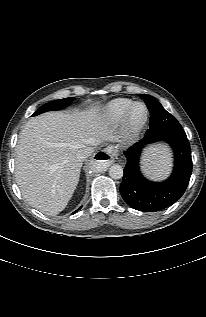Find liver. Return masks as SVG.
<instances>
[{
	"instance_id": "1",
	"label": "liver",
	"mask_w": 206,
	"mask_h": 317,
	"mask_svg": "<svg viewBox=\"0 0 206 317\" xmlns=\"http://www.w3.org/2000/svg\"><path fill=\"white\" fill-rule=\"evenodd\" d=\"M115 140L99 105L83 112H47L31 118L16 146L15 177L23 198L47 215H57L73 196L82 160L77 153Z\"/></svg>"
}]
</instances>
